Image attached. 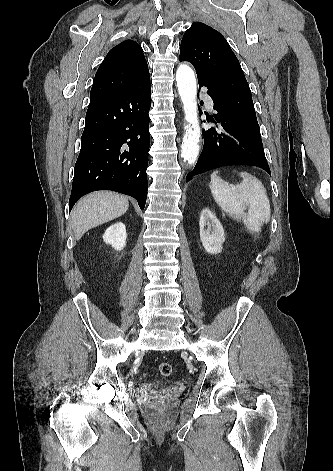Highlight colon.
Returning a JSON list of instances; mask_svg holds the SVG:
<instances>
[{
  "mask_svg": "<svg viewBox=\"0 0 333 471\" xmlns=\"http://www.w3.org/2000/svg\"><path fill=\"white\" fill-rule=\"evenodd\" d=\"M158 370L161 376L168 377L172 373V366L168 362H161L158 366Z\"/></svg>",
  "mask_w": 333,
  "mask_h": 471,
  "instance_id": "colon-1",
  "label": "colon"
}]
</instances>
